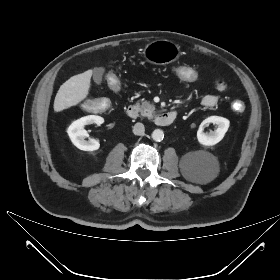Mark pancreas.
I'll list each match as a JSON object with an SVG mask.
<instances>
[{
    "mask_svg": "<svg viewBox=\"0 0 280 280\" xmlns=\"http://www.w3.org/2000/svg\"><path fill=\"white\" fill-rule=\"evenodd\" d=\"M137 106L140 107L141 114L143 116L148 117L149 119H152L155 116V114H156L155 105L154 104H150L147 101H144L141 104L137 103Z\"/></svg>",
    "mask_w": 280,
    "mask_h": 280,
    "instance_id": "pancreas-1",
    "label": "pancreas"
}]
</instances>
